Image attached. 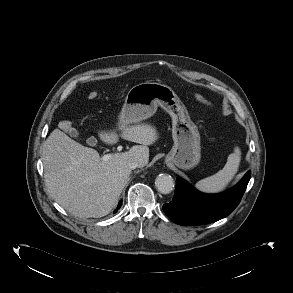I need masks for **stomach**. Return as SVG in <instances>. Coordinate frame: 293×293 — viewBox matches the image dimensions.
<instances>
[{
	"instance_id": "1",
	"label": "stomach",
	"mask_w": 293,
	"mask_h": 293,
	"mask_svg": "<svg viewBox=\"0 0 293 293\" xmlns=\"http://www.w3.org/2000/svg\"><path fill=\"white\" fill-rule=\"evenodd\" d=\"M158 106L172 118L174 145L166 156V163L185 170L195 167L201 158L200 134L185 105L169 86L154 82L133 86L125 97L119 115V127L150 118Z\"/></svg>"
}]
</instances>
